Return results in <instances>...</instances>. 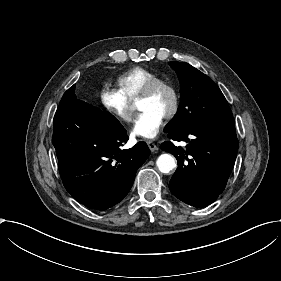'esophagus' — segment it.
Returning <instances> with one entry per match:
<instances>
[{
    "label": "esophagus",
    "mask_w": 281,
    "mask_h": 281,
    "mask_svg": "<svg viewBox=\"0 0 281 281\" xmlns=\"http://www.w3.org/2000/svg\"><path fill=\"white\" fill-rule=\"evenodd\" d=\"M146 143H147L148 147L150 148V150H151L152 152H154V151L157 150V146L155 145L154 142H152V141H147Z\"/></svg>",
    "instance_id": "obj_1"
}]
</instances>
